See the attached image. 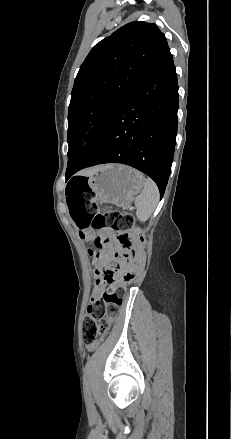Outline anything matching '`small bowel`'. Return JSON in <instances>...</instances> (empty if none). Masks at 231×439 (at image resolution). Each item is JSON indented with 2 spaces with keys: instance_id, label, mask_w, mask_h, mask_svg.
Listing matches in <instances>:
<instances>
[{
  "instance_id": "small-bowel-1",
  "label": "small bowel",
  "mask_w": 231,
  "mask_h": 439,
  "mask_svg": "<svg viewBox=\"0 0 231 439\" xmlns=\"http://www.w3.org/2000/svg\"><path fill=\"white\" fill-rule=\"evenodd\" d=\"M83 236L87 237L88 235L84 233ZM107 236H108V241L111 242L113 239V236L110 233H108ZM106 257H108V254L102 255L96 259V266H97V274L98 275H102L104 269L106 268ZM103 290H104V283L99 281L94 288V291L92 294V300L95 299L96 297H98L99 295H101Z\"/></svg>"
}]
</instances>
